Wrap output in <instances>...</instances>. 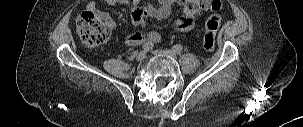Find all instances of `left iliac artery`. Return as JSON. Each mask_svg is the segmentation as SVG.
I'll return each instance as SVG.
<instances>
[{"mask_svg":"<svg viewBox=\"0 0 303 127\" xmlns=\"http://www.w3.org/2000/svg\"><path fill=\"white\" fill-rule=\"evenodd\" d=\"M172 50L176 53V54H180L183 50V47L181 45H174Z\"/></svg>","mask_w":303,"mask_h":127,"instance_id":"left-iliac-artery-1","label":"left iliac artery"}]
</instances>
